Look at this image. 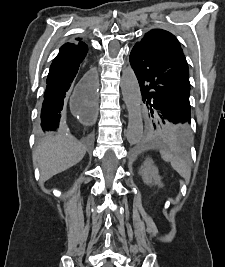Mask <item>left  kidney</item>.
Segmentation results:
<instances>
[{
    "mask_svg": "<svg viewBox=\"0 0 225 267\" xmlns=\"http://www.w3.org/2000/svg\"><path fill=\"white\" fill-rule=\"evenodd\" d=\"M140 173L145 184L163 186V184L161 183V177L158 173V169L154 165L152 159L148 158L145 160L143 166H141Z\"/></svg>",
    "mask_w": 225,
    "mask_h": 267,
    "instance_id": "left-kidney-1",
    "label": "left kidney"
}]
</instances>
